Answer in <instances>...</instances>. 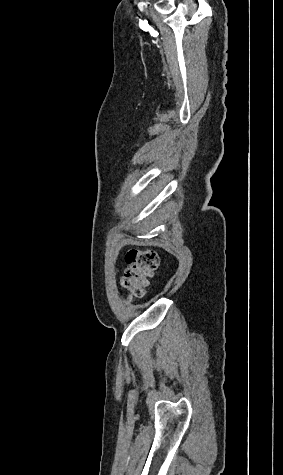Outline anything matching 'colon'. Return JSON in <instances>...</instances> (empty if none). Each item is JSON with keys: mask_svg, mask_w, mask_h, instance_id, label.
<instances>
[{"mask_svg": "<svg viewBox=\"0 0 283 475\" xmlns=\"http://www.w3.org/2000/svg\"><path fill=\"white\" fill-rule=\"evenodd\" d=\"M130 263L120 279L121 286L128 290L131 299L141 298L145 293V287L153 278L159 267V257L153 248H140L131 250L127 255Z\"/></svg>", "mask_w": 283, "mask_h": 475, "instance_id": "5ec220e1", "label": "colon"}]
</instances>
